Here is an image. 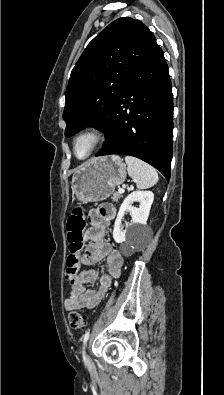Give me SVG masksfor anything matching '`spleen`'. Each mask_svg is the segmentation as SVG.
<instances>
[{
    "mask_svg": "<svg viewBox=\"0 0 224 395\" xmlns=\"http://www.w3.org/2000/svg\"><path fill=\"white\" fill-rule=\"evenodd\" d=\"M125 162L128 174L136 182L138 189L150 188L158 182V174L149 164L132 156H126Z\"/></svg>",
    "mask_w": 224,
    "mask_h": 395,
    "instance_id": "1",
    "label": "spleen"
}]
</instances>
